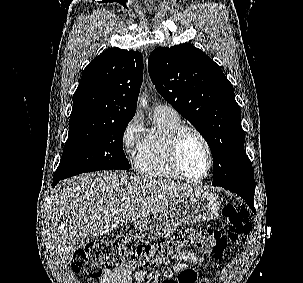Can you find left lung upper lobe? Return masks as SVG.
Masks as SVG:
<instances>
[{
	"instance_id": "1",
	"label": "left lung upper lobe",
	"mask_w": 303,
	"mask_h": 283,
	"mask_svg": "<svg viewBox=\"0 0 303 283\" xmlns=\"http://www.w3.org/2000/svg\"><path fill=\"white\" fill-rule=\"evenodd\" d=\"M158 93L207 141L213 156L214 186H254L244 152L245 132L232 84L203 51L184 43L156 48L148 59Z\"/></svg>"
}]
</instances>
